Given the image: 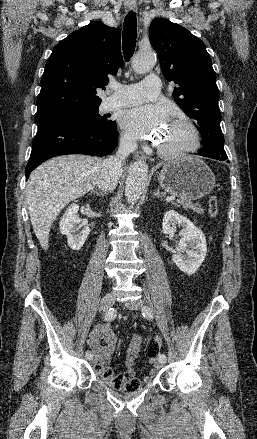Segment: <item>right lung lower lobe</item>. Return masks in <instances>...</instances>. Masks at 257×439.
Wrapping results in <instances>:
<instances>
[{
	"label": "right lung lower lobe",
	"mask_w": 257,
	"mask_h": 439,
	"mask_svg": "<svg viewBox=\"0 0 257 439\" xmlns=\"http://www.w3.org/2000/svg\"><path fill=\"white\" fill-rule=\"evenodd\" d=\"M38 126L25 169L26 180L47 159L66 154L105 156L118 142L115 121L110 126H95L77 119L58 118L41 122Z\"/></svg>",
	"instance_id": "obj_1"
}]
</instances>
